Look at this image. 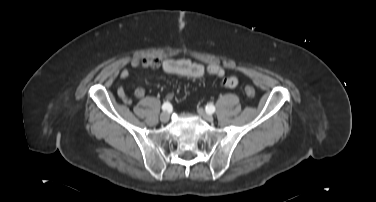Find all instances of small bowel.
<instances>
[{
  "label": "small bowel",
  "mask_w": 376,
  "mask_h": 202,
  "mask_svg": "<svg viewBox=\"0 0 376 202\" xmlns=\"http://www.w3.org/2000/svg\"><path fill=\"white\" fill-rule=\"evenodd\" d=\"M130 64L132 68L143 67L149 69H159L166 74L179 75L194 79L202 78L207 74L217 75L221 78L223 85L228 88H234L238 84V79L236 77L227 76L224 70L215 64L206 66L188 59L161 60L156 57L134 58ZM130 74L131 72L128 68H123L120 71L119 76L122 80H126L130 77ZM116 94L124 104L129 105L132 103V98L127 94L122 86L117 87ZM134 96L139 99L143 98L145 96V90L141 87L136 88L134 91Z\"/></svg>",
  "instance_id": "small-bowel-1"
}]
</instances>
